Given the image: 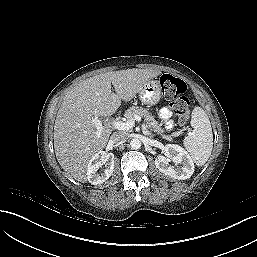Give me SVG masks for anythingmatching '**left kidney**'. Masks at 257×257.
Segmentation results:
<instances>
[{
  "instance_id": "left-kidney-1",
  "label": "left kidney",
  "mask_w": 257,
  "mask_h": 257,
  "mask_svg": "<svg viewBox=\"0 0 257 257\" xmlns=\"http://www.w3.org/2000/svg\"><path fill=\"white\" fill-rule=\"evenodd\" d=\"M171 161L176 164V167L169 164ZM155 165L163 174L178 180L188 179L194 173L191 157L181 146L175 144L165 146L164 155L157 156Z\"/></svg>"
}]
</instances>
